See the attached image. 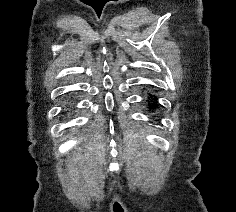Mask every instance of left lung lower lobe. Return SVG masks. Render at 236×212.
Segmentation results:
<instances>
[{"instance_id":"obj_1","label":"left lung lower lobe","mask_w":236,"mask_h":212,"mask_svg":"<svg viewBox=\"0 0 236 212\" xmlns=\"http://www.w3.org/2000/svg\"><path fill=\"white\" fill-rule=\"evenodd\" d=\"M155 100H156L155 96H150V101H148V104H149L148 106H149L150 110H152V111H153V109H155L157 107V103L153 102Z\"/></svg>"}]
</instances>
